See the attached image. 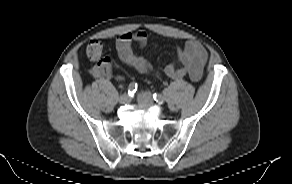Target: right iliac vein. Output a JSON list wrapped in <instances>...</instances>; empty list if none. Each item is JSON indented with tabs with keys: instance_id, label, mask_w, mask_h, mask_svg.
<instances>
[{
	"instance_id": "63e3f726",
	"label": "right iliac vein",
	"mask_w": 292,
	"mask_h": 184,
	"mask_svg": "<svg viewBox=\"0 0 292 184\" xmlns=\"http://www.w3.org/2000/svg\"><path fill=\"white\" fill-rule=\"evenodd\" d=\"M130 102V96L127 94H123L122 96H120L119 98V103L120 104H127Z\"/></svg>"
}]
</instances>
